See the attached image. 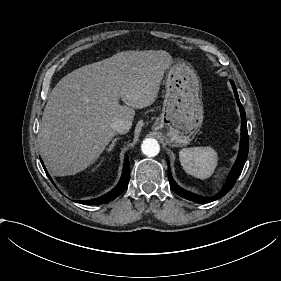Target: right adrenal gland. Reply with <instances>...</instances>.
Instances as JSON below:
<instances>
[{"instance_id": "right-adrenal-gland-1", "label": "right adrenal gland", "mask_w": 281, "mask_h": 281, "mask_svg": "<svg viewBox=\"0 0 281 281\" xmlns=\"http://www.w3.org/2000/svg\"><path fill=\"white\" fill-rule=\"evenodd\" d=\"M120 139H121V137L115 138V139L111 142V144L108 145V147H107L106 150L109 151V152H112V151L114 150V148L116 147V145H117V141L120 140Z\"/></svg>"}]
</instances>
